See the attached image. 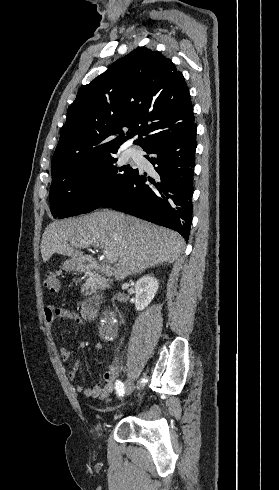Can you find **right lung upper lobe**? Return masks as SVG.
Listing matches in <instances>:
<instances>
[{
  "label": "right lung upper lobe",
  "instance_id": "cb5924a9",
  "mask_svg": "<svg viewBox=\"0 0 279 490\" xmlns=\"http://www.w3.org/2000/svg\"><path fill=\"white\" fill-rule=\"evenodd\" d=\"M194 125L182 73L160 52L135 49L78 91L53 155L52 179L118 150L134 135L145 150Z\"/></svg>",
  "mask_w": 279,
  "mask_h": 490
}]
</instances>
